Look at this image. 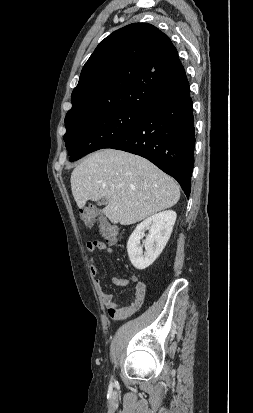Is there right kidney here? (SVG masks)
Listing matches in <instances>:
<instances>
[{
	"instance_id": "ca27d5eb",
	"label": "right kidney",
	"mask_w": 253,
	"mask_h": 413,
	"mask_svg": "<svg viewBox=\"0 0 253 413\" xmlns=\"http://www.w3.org/2000/svg\"><path fill=\"white\" fill-rule=\"evenodd\" d=\"M176 212L166 210L155 214L141 222L127 242V252L132 265L139 270L149 267L161 254L166 246L176 221ZM146 236L145 252L140 240Z\"/></svg>"
}]
</instances>
